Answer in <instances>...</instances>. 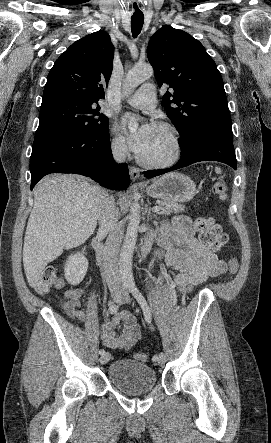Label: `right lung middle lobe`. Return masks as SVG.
Here are the masks:
<instances>
[{
	"label": "right lung middle lobe",
	"instance_id": "obj_1",
	"mask_svg": "<svg viewBox=\"0 0 271 443\" xmlns=\"http://www.w3.org/2000/svg\"><path fill=\"white\" fill-rule=\"evenodd\" d=\"M100 106L75 99H56L41 104L40 123L35 137L51 130L94 135L109 126Z\"/></svg>",
	"mask_w": 271,
	"mask_h": 443
}]
</instances>
